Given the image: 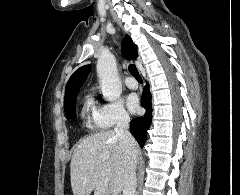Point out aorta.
<instances>
[{
    "instance_id": "aorta-1",
    "label": "aorta",
    "mask_w": 240,
    "mask_h": 195,
    "mask_svg": "<svg viewBox=\"0 0 240 195\" xmlns=\"http://www.w3.org/2000/svg\"><path fill=\"white\" fill-rule=\"evenodd\" d=\"M102 94L107 101H115L122 94V84L118 76L115 56L111 52H103L96 66Z\"/></svg>"
}]
</instances>
